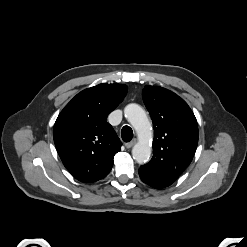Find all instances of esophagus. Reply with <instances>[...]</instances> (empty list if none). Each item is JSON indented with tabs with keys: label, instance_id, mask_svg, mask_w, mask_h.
I'll list each match as a JSON object with an SVG mask.
<instances>
[{
	"label": "esophagus",
	"instance_id": "1",
	"mask_svg": "<svg viewBox=\"0 0 247 247\" xmlns=\"http://www.w3.org/2000/svg\"><path fill=\"white\" fill-rule=\"evenodd\" d=\"M136 143V139H133L131 142H128L125 144L126 148L130 149L132 148Z\"/></svg>",
	"mask_w": 247,
	"mask_h": 247
}]
</instances>
